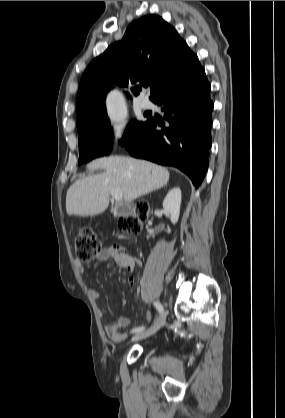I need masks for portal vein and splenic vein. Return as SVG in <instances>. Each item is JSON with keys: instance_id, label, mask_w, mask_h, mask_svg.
Instances as JSON below:
<instances>
[{"instance_id": "1", "label": "portal vein and splenic vein", "mask_w": 285, "mask_h": 418, "mask_svg": "<svg viewBox=\"0 0 285 418\" xmlns=\"http://www.w3.org/2000/svg\"><path fill=\"white\" fill-rule=\"evenodd\" d=\"M111 195L117 202L122 200V192L119 190L111 191Z\"/></svg>"}]
</instances>
